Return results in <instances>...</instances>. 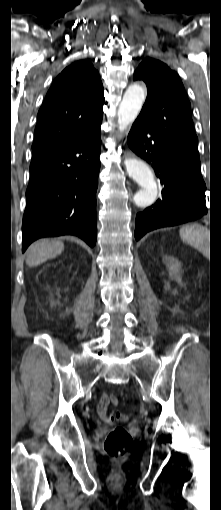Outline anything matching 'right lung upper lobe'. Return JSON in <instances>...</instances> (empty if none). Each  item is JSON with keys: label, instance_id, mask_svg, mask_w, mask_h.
I'll return each instance as SVG.
<instances>
[{"label": "right lung upper lobe", "instance_id": "obj_1", "mask_svg": "<svg viewBox=\"0 0 221 510\" xmlns=\"http://www.w3.org/2000/svg\"><path fill=\"white\" fill-rule=\"evenodd\" d=\"M104 89L93 65L80 60L65 68L38 112L32 150L64 142L102 122Z\"/></svg>", "mask_w": 221, "mask_h": 510}]
</instances>
